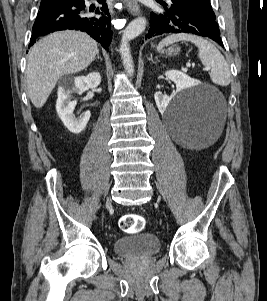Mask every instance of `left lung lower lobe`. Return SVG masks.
<instances>
[{"instance_id":"1","label":"left lung lower lobe","mask_w":267,"mask_h":301,"mask_svg":"<svg viewBox=\"0 0 267 301\" xmlns=\"http://www.w3.org/2000/svg\"><path fill=\"white\" fill-rule=\"evenodd\" d=\"M161 4L164 11L151 13L150 28L146 38L167 33H191L209 37L223 46L215 19L181 0H169L168 3Z\"/></svg>"}]
</instances>
